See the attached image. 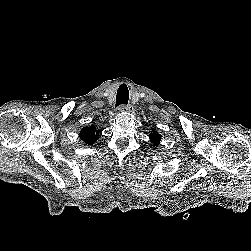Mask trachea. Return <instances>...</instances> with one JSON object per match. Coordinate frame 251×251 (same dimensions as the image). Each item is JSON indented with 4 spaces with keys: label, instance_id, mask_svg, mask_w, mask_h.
<instances>
[{
    "label": "trachea",
    "instance_id": "trachea-1",
    "mask_svg": "<svg viewBox=\"0 0 251 251\" xmlns=\"http://www.w3.org/2000/svg\"><path fill=\"white\" fill-rule=\"evenodd\" d=\"M129 99V90L125 84H121L117 90L116 106L127 105Z\"/></svg>",
    "mask_w": 251,
    "mask_h": 251
}]
</instances>
